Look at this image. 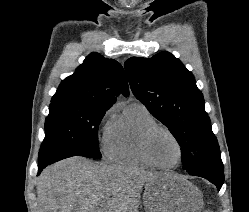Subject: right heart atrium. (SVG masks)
<instances>
[{
  "mask_svg": "<svg viewBox=\"0 0 249 212\" xmlns=\"http://www.w3.org/2000/svg\"><path fill=\"white\" fill-rule=\"evenodd\" d=\"M114 111H115L114 106H111L104 111L103 115L100 118V126L104 125L110 119V117L112 116ZM103 138H104V140L106 139V132H105Z\"/></svg>",
  "mask_w": 249,
  "mask_h": 212,
  "instance_id": "right-heart-atrium-1",
  "label": "right heart atrium"
}]
</instances>
